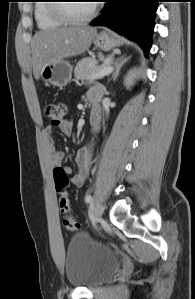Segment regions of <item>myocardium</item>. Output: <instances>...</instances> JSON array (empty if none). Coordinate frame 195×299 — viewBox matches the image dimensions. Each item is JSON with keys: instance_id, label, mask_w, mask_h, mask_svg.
Segmentation results:
<instances>
[{"instance_id": "f54148a6", "label": "myocardium", "mask_w": 195, "mask_h": 299, "mask_svg": "<svg viewBox=\"0 0 195 299\" xmlns=\"http://www.w3.org/2000/svg\"><path fill=\"white\" fill-rule=\"evenodd\" d=\"M57 2H65V1H57ZM66 7H67V3H53L51 6V11L56 18L68 24H82V23L89 22L98 13V7L96 3H93L90 12L87 15L82 17L71 15L66 10Z\"/></svg>"}]
</instances>
